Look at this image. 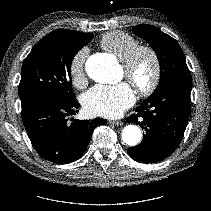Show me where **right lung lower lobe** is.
Here are the masks:
<instances>
[{"instance_id": "right-lung-lower-lobe-1", "label": "right lung lower lobe", "mask_w": 211, "mask_h": 211, "mask_svg": "<svg viewBox=\"0 0 211 211\" xmlns=\"http://www.w3.org/2000/svg\"><path fill=\"white\" fill-rule=\"evenodd\" d=\"M76 99L61 101L42 98L22 107V120L32 145L44 159L56 164H68L85 152L96 126L106 124L102 118L74 120L68 117L77 113Z\"/></svg>"}]
</instances>
